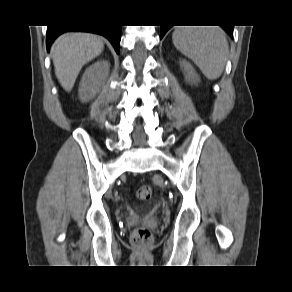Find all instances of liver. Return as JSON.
<instances>
[{
	"mask_svg": "<svg viewBox=\"0 0 292 292\" xmlns=\"http://www.w3.org/2000/svg\"><path fill=\"white\" fill-rule=\"evenodd\" d=\"M104 44L90 33H65L52 46L55 74L61 86L70 91L82 67L101 54Z\"/></svg>",
	"mask_w": 292,
	"mask_h": 292,
	"instance_id": "liver-1",
	"label": "liver"
}]
</instances>
